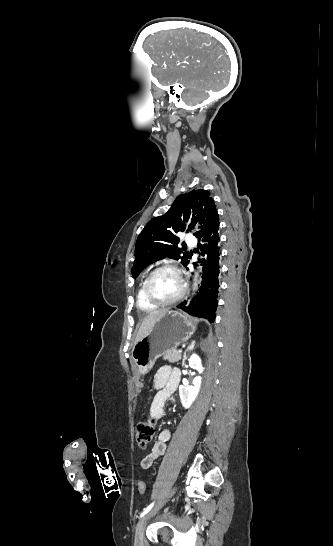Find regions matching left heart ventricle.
<instances>
[{
	"instance_id": "1",
	"label": "left heart ventricle",
	"mask_w": 333,
	"mask_h": 546,
	"mask_svg": "<svg viewBox=\"0 0 333 546\" xmlns=\"http://www.w3.org/2000/svg\"><path fill=\"white\" fill-rule=\"evenodd\" d=\"M149 288L159 300H170L180 292L181 283L176 273L163 270L154 275Z\"/></svg>"
}]
</instances>
